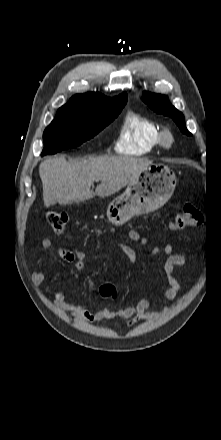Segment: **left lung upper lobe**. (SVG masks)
Returning <instances> with one entry per match:
<instances>
[{"instance_id":"obj_1","label":"left lung upper lobe","mask_w":221,"mask_h":440,"mask_svg":"<svg viewBox=\"0 0 221 440\" xmlns=\"http://www.w3.org/2000/svg\"><path fill=\"white\" fill-rule=\"evenodd\" d=\"M143 94V101L147 103L154 111L171 117L179 126L181 132L192 136V134L185 127L183 114L170 104L167 96L149 93L146 91L143 92Z\"/></svg>"}]
</instances>
